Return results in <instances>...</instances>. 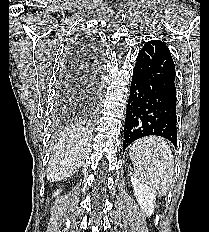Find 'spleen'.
Returning <instances> with one entry per match:
<instances>
[{
    "label": "spleen",
    "mask_w": 209,
    "mask_h": 232,
    "mask_svg": "<svg viewBox=\"0 0 209 232\" xmlns=\"http://www.w3.org/2000/svg\"><path fill=\"white\" fill-rule=\"evenodd\" d=\"M135 173L160 195H166L173 181L174 156L162 138L145 137L129 149Z\"/></svg>",
    "instance_id": "1"
}]
</instances>
